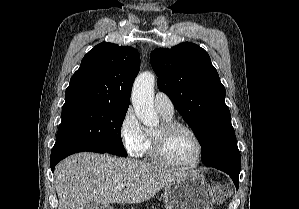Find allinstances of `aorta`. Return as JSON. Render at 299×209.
<instances>
[{"instance_id":"1","label":"aorta","mask_w":299,"mask_h":209,"mask_svg":"<svg viewBox=\"0 0 299 209\" xmlns=\"http://www.w3.org/2000/svg\"><path fill=\"white\" fill-rule=\"evenodd\" d=\"M155 76L151 72H144L134 81L131 101L138 119L145 126H156L158 115L154 110Z\"/></svg>"}]
</instances>
